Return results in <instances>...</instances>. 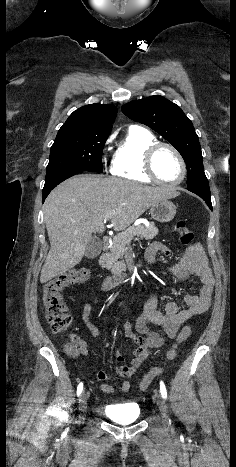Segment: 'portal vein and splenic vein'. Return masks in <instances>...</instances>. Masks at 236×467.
Returning a JSON list of instances; mask_svg holds the SVG:
<instances>
[{
    "label": "portal vein and splenic vein",
    "instance_id": "1",
    "mask_svg": "<svg viewBox=\"0 0 236 467\" xmlns=\"http://www.w3.org/2000/svg\"><path fill=\"white\" fill-rule=\"evenodd\" d=\"M106 220H110V218H106L105 221H106ZM135 240H137V238H136Z\"/></svg>",
    "mask_w": 236,
    "mask_h": 467
}]
</instances>
